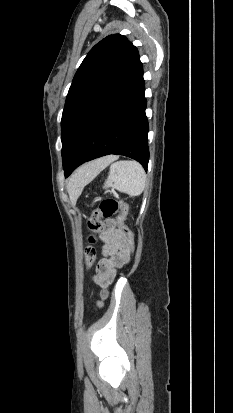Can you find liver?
<instances>
[{
	"label": "liver",
	"instance_id": "6515ba94",
	"mask_svg": "<svg viewBox=\"0 0 233 413\" xmlns=\"http://www.w3.org/2000/svg\"><path fill=\"white\" fill-rule=\"evenodd\" d=\"M113 159L114 157L108 156L81 166L70 179L67 187L70 198L73 199L80 192L82 187L100 170L104 169Z\"/></svg>",
	"mask_w": 233,
	"mask_h": 413
}]
</instances>
